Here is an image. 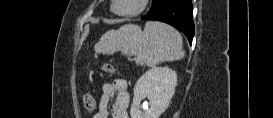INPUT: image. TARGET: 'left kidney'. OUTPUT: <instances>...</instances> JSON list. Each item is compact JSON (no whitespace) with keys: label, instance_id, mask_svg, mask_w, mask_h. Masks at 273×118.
<instances>
[{"label":"left kidney","instance_id":"left-kidney-1","mask_svg":"<svg viewBox=\"0 0 273 118\" xmlns=\"http://www.w3.org/2000/svg\"><path fill=\"white\" fill-rule=\"evenodd\" d=\"M177 85V74L167 67H153L135 84L131 105V118H159L167 109ZM147 98L150 108L140 109L141 101Z\"/></svg>","mask_w":273,"mask_h":118}]
</instances>
